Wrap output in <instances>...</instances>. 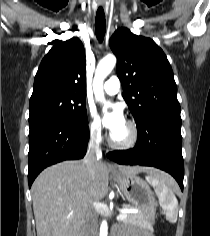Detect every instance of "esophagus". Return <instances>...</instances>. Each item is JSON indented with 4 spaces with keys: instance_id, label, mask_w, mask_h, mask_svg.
Segmentation results:
<instances>
[{
    "instance_id": "obj_1",
    "label": "esophagus",
    "mask_w": 210,
    "mask_h": 236,
    "mask_svg": "<svg viewBox=\"0 0 210 236\" xmlns=\"http://www.w3.org/2000/svg\"><path fill=\"white\" fill-rule=\"evenodd\" d=\"M101 5H103V2H100ZM109 168L114 169V165L112 163L108 164Z\"/></svg>"
}]
</instances>
